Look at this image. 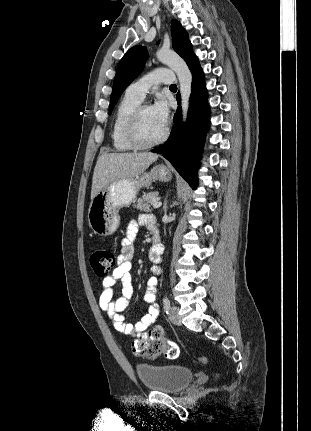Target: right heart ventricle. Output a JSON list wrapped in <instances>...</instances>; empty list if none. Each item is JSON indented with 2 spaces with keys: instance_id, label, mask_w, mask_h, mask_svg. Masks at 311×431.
Segmentation results:
<instances>
[{
  "instance_id": "e07e8e85",
  "label": "right heart ventricle",
  "mask_w": 311,
  "mask_h": 431,
  "mask_svg": "<svg viewBox=\"0 0 311 431\" xmlns=\"http://www.w3.org/2000/svg\"><path fill=\"white\" fill-rule=\"evenodd\" d=\"M141 102V98L126 90L117 103L111 131L112 145L116 151L128 152L136 149L127 137L126 125L129 116Z\"/></svg>"
}]
</instances>
